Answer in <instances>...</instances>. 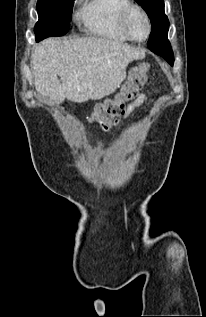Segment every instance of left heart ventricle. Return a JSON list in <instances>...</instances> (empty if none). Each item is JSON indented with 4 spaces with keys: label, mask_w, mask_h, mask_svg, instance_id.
Instances as JSON below:
<instances>
[{
    "label": "left heart ventricle",
    "mask_w": 206,
    "mask_h": 317,
    "mask_svg": "<svg viewBox=\"0 0 206 317\" xmlns=\"http://www.w3.org/2000/svg\"><path fill=\"white\" fill-rule=\"evenodd\" d=\"M127 27L133 37L143 39L147 33L146 21L138 10L132 11L128 18Z\"/></svg>",
    "instance_id": "1"
}]
</instances>
